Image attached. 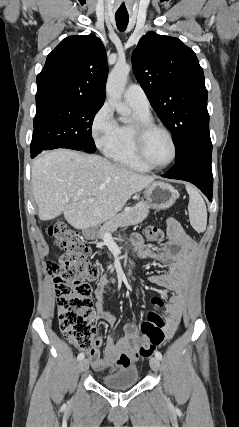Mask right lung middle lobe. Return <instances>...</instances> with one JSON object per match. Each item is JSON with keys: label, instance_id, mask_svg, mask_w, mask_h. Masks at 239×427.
<instances>
[{"label": "right lung middle lobe", "instance_id": "right-lung-middle-lobe-1", "mask_svg": "<svg viewBox=\"0 0 239 427\" xmlns=\"http://www.w3.org/2000/svg\"><path fill=\"white\" fill-rule=\"evenodd\" d=\"M31 157L43 150L68 148L96 151L91 135L94 116L102 104L78 100H36Z\"/></svg>", "mask_w": 239, "mask_h": 427}]
</instances>
